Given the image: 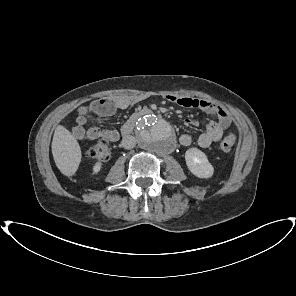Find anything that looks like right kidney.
Listing matches in <instances>:
<instances>
[{
    "label": "right kidney",
    "mask_w": 296,
    "mask_h": 296,
    "mask_svg": "<svg viewBox=\"0 0 296 296\" xmlns=\"http://www.w3.org/2000/svg\"><path fill=\"white\" fill-rule=\"evenodd\" d=\"M102 169V163L100 161L96 162L92 168L93 174H97Z\"/></svg>",
    "instance_id": "right-kidney-1"
}]
</instances>
